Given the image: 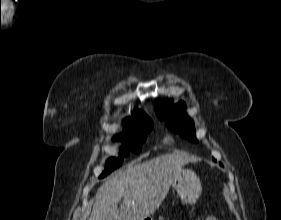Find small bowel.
<instances>
[{"label":"small bowel","instance_id":"c3829d8e","mask_svg":"<svg viewBox=\"0 0 281 220\" xmlns=\"http://www.w3.org/2000/svg\"><path fill=\"white\" fill-rule=\"evenodd\" d=\"M202 220H218V219L214 216H209V217H207L205 219H202Z\"/></svg>","mask_w":281,"mask_h":220}]
</instances>
